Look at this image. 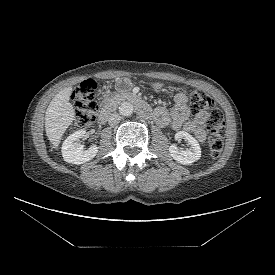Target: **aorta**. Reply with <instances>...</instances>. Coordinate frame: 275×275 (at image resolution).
<instances>
[{"mask_svg": "<svg viewBox=\"0 0 275 275\" xmlns=\"http://www.w3.org/2000/svg\"><path fill=\"white\" fill-rule=\"evenodd\" d=\"M133 111L134 106L130 102L125 101L119 106V113L122 116H131L133 114Z\"/></svg>", "mask_w": 275, "mask_h": 275, "instance_id": "obj_1", "label": "aorta"}]
</instances>
